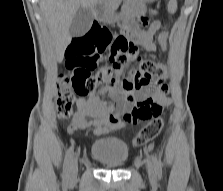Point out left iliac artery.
<instances>
[{"instance_id":"left-iliac-artery-1","label":"left iliac artery","mask_w":223,"mask_h":191,"mask_svg":"<svg viewBox=\"0 0 223 191\" xmlns=\"http://www.w3.org/2000/svg\"><path fill=\"white\" fill-rule=\"evenodd\" d=\"M152 162H153L156 174L158 175L159 178H161V176H162L161 163L159 162V160L157 159V157L155 155H152Z\"/></svg>"}]
</instances>
